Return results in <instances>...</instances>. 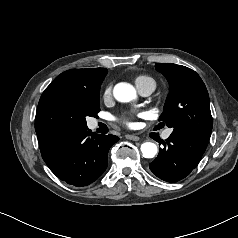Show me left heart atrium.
Instances as JSON below:
<instances>
[{
    "label": "left heart atrium",
    "instance_id": "1",
    "mask_svg": "<svg viewBox=\"0 0 238 238\" xmlns=\"http://www.w3.org/2000/svg\"><path fill=\"white\" fill-rule=\"evenodd\" d=\"M123 123L129 127H132L134 125L133 121L130 118H124Z\"/></svg>",
    "mask_w": 238,
    "mask_h": 238
}]
</instances>
